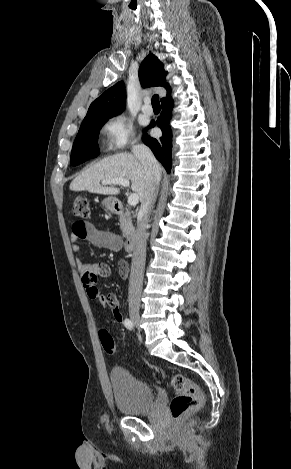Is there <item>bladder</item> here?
<instances>
[{"instance_id":"obj_1","label":"bladder","mask_w":291,"mask_h":469,"mask_svg":"<svg viewBox=\"0 0 291 469\" xmlns=\"http://www.w3.org/2000/svg\"><path fill=\"white\" fill-rule=\"evenodd\" d=\"M110 382L115 405L122 414L140 415L152 408L154 403L152 387L125 368H112Z\"/></svg>"}]
</instances>
